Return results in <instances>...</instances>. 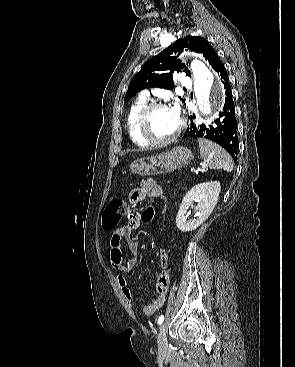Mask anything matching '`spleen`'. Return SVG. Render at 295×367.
Instances as JSON below:
<instances>
[{"label":"spleen","instance_id":"1","mask_svg":"<svg viewBox=\"0 0 295 367\" xmlns=\"http://www.w3.org/2000/svg\"><path fill=\"white\" fill-rule=\"evenodd\" d=\"M200 155L203 159L202 168L222 169L227 172L233 170L231 156L218 144L205 139H199Z\"/></svg>","mask_w":295,"mask_h":367}]
</instances>
